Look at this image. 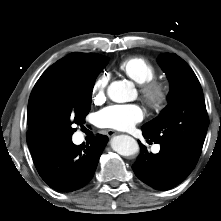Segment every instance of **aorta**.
Returning <instances> with one entry per match:
<instances>
[{"mask_svg":"<svg viewBox=\"0 0 221 221\" xmlns=\"http://www.w3.org/2000/svg\"><path fill=\"white\" fill-rule=\"evenodd\" d=\"M109 98L117 103L130 101L135 95L133 85L128 81H114L108 87ZM114 151L123 156H132L139 152V145L128 135L115 136L111 142Z\"/></svg>","mask_w":221,"mask_h":221,"instance_id":"762f6f07","label":"aorta"}]
</instances>
